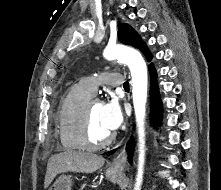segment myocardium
I'll return each instance as SVG.
<instances>
[{"label":"myocardium","mask_w":221,"mask_h":190,"mask_svg":"<svg viewBox=\"0 0 221 190\" xmlns=\"http://www.w3.org/2000/svg\"><path fill=\"white\" fill-rule=\"evenodd\" d=\"M100 103L98 99H90L88 100L82 111L81 116V125H80V134L84 147L90 150H98L110 145L115 135L113 133L109 134L106 138L96 141L92 138L91 134V108L93 104Z\"/></svg>","instance_id":"f54148a6"}]
</instances>
